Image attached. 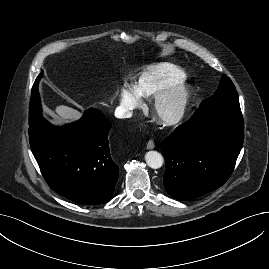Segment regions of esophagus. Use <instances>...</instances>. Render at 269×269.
Wrapping results in <instances>:
<instances>
[{
    "mask_svg": "<svg viewBox=\"0 0 269 269\" xmlns=\"http://www.w3.org/2000/svg\"><path fill=\"white\" fill-rule=\"evenodd\" d=\"M155 147V144L152 140L148 141L147 143V149H153Z\"/></svg>",
    "mask_w": 269,
    "mask_h": 269,
    "instance_id": "34e87169",
    "label": "esophagus"
}]
</instances>
